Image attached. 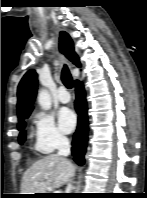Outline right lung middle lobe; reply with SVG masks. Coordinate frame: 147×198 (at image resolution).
<instances>
[{
	"label": "right lung middle lobe",
	"instance_id": "1",
	"mask_svg": "<svg viewBox=\"0 0 147 198\" xmlns=\"http://www.w3.org/2000/svg\"><path fill=\"white\" fill-rule=\"evenodd\" d=\"M28 118V117H27ZM23 119L22 121H20L18 123V130H19V137H18V141L20 144H23V142L25 141V126H26V119Z\"/></svg>",
	"mask_w": 147,
	"mask_h": 198
}]
</instances>
